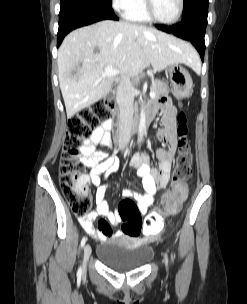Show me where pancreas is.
Listing matches in <instances>:
<instances>
[{
  "instance_id": "obj_1",
  "label": "pancreas",
  "mask_w": 247,
  "mask_h": 304,
  "mask_svg": "<svg viewBox=\"0 0 247 304\" xmlns=\"http://www.w3.org/2000/svg\"><path fill=\"white\" fill-rule=\"evenodd\" d=\"M151 90L155 93V98H159L162 95H168L169 90L165 86V84L159 80H155L152 82Z\"/></svg>"
}]
</instances>
